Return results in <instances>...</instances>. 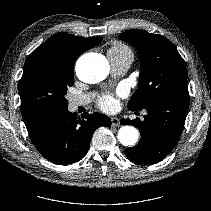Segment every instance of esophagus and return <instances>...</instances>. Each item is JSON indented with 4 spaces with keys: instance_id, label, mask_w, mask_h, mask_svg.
I'll return each mask as SVG.
<instances>
[{
    "instance_id": "34e87169",
    "label": "esophagus",
    "mask_w": 211,
    "mask_h": 211,
    "mask_svg": "<svg viewBox=\"0 0 211 211\" xmlns=\"http://www.w3.org/2000/svg\"><path fill=\"white\" fill-rule=\"evenodd\" d=\"M111 123H112V126H116V127L120 126V120L117 117H112Z\"/></svg>"
}]
</instances>
